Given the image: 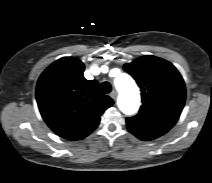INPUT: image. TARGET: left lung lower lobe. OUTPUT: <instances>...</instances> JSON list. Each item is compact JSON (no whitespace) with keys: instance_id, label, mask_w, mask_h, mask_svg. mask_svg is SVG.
Instances as JSON below:
<instances>
[{"instance_id":"1","label":"left lung lower lobe","mask_w":212,"mask_h":183,"mask_svg":"<svg viewBox=\"0 0 212 183\" xmlns=\"http://www.w3.org/2000/svg\"><path fill=\"white\" fill-rule=\"evenodd\" d=\"M134 134L136 137H138L141 140H153L157 137H153V136H146V135H142V134H138V133H132Z\"/></svg>"}]
</instances>
